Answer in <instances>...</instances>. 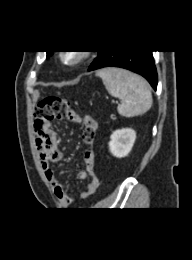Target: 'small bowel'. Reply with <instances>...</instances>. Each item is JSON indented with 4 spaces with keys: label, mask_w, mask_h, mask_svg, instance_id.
<instances>
[{
    "label": "small bowel",
    "mask_w": 192,
    "mask_h": 260,
    "mask_svg": "<svg viewBox=\"0 0 192 260\" xmlns=\"http://www.w3.org/2000/svg\"><path fill=\"white\" fill-rule=\"evenodd\" d=\"M75 123H83L84 127L91 129L93 132L97 130V122L90 116L81 117L77 112H73L67 117ZM35 142L39 153L41 166L45 176L51 184L54 194L63 207L74 204V196L71 191L63 185L52 170V165L58 163L62 159V152L58 147L57 136L51 128L49 122H37L34 125ZM84 169L77 173V178L84 180L90 177L86 188L79 191L81 199H88L93 195L99 187V179L95 174V154L93 150H87L84 154Z\"/></svg>",
    "instance_id": "c3829d8e"
}]
</instances>
